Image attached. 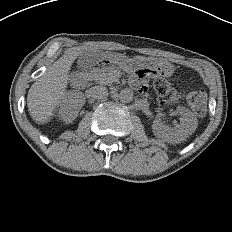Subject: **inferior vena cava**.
<instances>
[{
  "mask_svg": "<svg viewBox=\"0 0 232 232\" xmlns=\"http://www.w3.org/2000/svg\"><path fill=\"white\" fill-rule=\"evenodd\" d=\"M92 97L105 100L108 98V90L105 86H95L92 88Z\"/></svg>",
  "mask_w": 232,
  "mask_h": 232,
  "instance_id": "602c4592",
  "label": "inferior vena cava"
}]
</instances>
